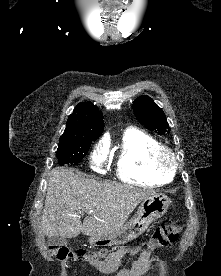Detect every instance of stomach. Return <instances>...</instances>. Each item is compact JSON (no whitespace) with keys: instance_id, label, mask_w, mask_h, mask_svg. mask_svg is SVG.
<instances>
[{"instance_id":"1","label":"stomach","mask_w":221,"mask_h":276,"mask_svg":"<svg viewBox=\"0 0 221 276\" xmlns=\"http://www.w3.org/2000/svg\"><path fill=\"white\" fill-rule=\"evenodd\" d=\"M170 199L163 194H154L144 199L137 214L114 233L102 237L92 236L94 246L121 245L142 235L150 223L162 217L168 210Z\"/></svg>"}]
</instances>
